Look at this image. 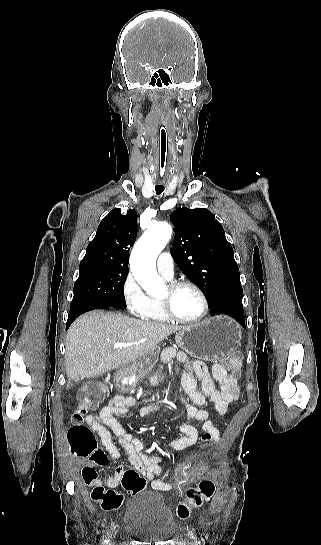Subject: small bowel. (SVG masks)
<instances>
[{
	"mask_svg": "<svg viewBox=\"0 0 321 545\" xmlns=\"http://www.w3.org/2000/svg\"><path fill=\"white\" fill-rule=\"evenodd\" d=\"M197 380L201 381V389L197 387ZM215 382L218 383V388H216ZM181 387L187 397L178 396V399L186 406L187 416L203 422L202 440L205 442L218 441L219 431L210 420L209 413L206 410L198 409V407L210 403L213 409L223 416L229 404L239 396L237 379L229 375L219 364L212 365L210 374L208 367L203 362L192 360L190 361V369L184 372L181 377ZM135 405L136 400L133 397L117 395L98 414L88 415L85 419L86 425L98 434L102 445L112 459L119 460L121 458V453L112 439V435H114L117 442L127 452L129 462L134 470L148 477L154 489L170 491L176 485L156 479L162 473L158 464L159 455H148L141 440L125 431L116 419V416L127 414L129 409ZM161 405L162 402H158L148 406L143 410V416L152 415L159 410ZM178 431L183 436L166 444V449L181 450L194 444L198 439L197 430L189 424L179 425ZM90 460L95 466L104 467L108 464V457L102 451L100 455L92 457ZM123 472L124 466L120 464L112 476L100 480L94 467L86 466L82 475L84 482L89 486H103L113 489L119 485Z\"/></svg>",
	"mask_w": 321,
	"mask_h": 545,
	"instance_id": "c3829d8e",
	"label": "small bowel"
}]
</instances>
